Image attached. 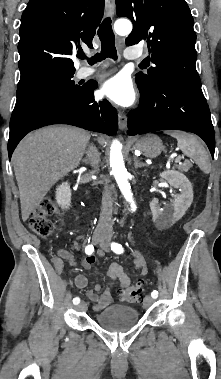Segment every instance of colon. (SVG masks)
Segmentation results:
<instances>
[{
	"instance_id": "5ec220e1",
	"label": "colon",
	"mask_w": 221,
	"mask_h": 379,
	"mask_svg": "<svg viewBox=\"0 0 221 379\" xmlns=\"http://www.w3.org/2000/svg\"><path fill=\"white\" fill-rule=\"evenodd\" d=\"M57 214L59 208L53 201H42L30 216V228L41 237L49 236L54 227L51 217ZM122 297L128 302L138 303L143 300V290L139 285L131 286L122 292Z\"/></svg>"
}]
</instances>
